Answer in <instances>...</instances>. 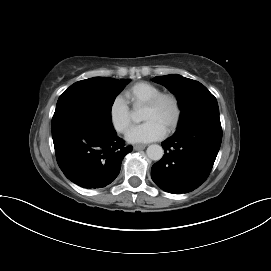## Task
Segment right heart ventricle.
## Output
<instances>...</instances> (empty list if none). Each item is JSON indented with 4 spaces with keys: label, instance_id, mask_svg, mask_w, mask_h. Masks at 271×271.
I'll use <instances>...</instances> for the list:
<instances>
[{
    "label": "right heart ventricle",
    "instance_id": "obj_1",
    "mask_svg": "<svg viewBox=\"0 0 271 271\" xmlns=\"http://www.w3.org/2000/svg\"><path fill=\"white\" fill-rule=\"evenodd\" d=\"M161 89L150 82H138L124 92L126 102L133 107L144 105L150 98L160 93Z\"/></svg>",
    "mask_w": 271,
    "mask_h": 271
}]
</instances>
